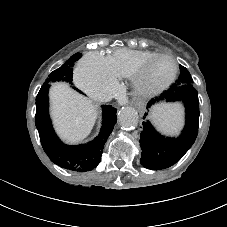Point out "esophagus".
Instances as JSON below:
<instances>
[{
	"mask_svg": "<svg viewBox=\"0 0 227 227\" xmlns=\"http://www.w3.org/2000/svg\"><path fill=\"white\" fill-rule=\"evenodd\" d=\"M136 110H137V112L140 113V114L145 113L146 110H147L146 103H145L144 101H139V102L137 103Z\"/></svg>",
	"mask_w": 227,
	"mask_h": 227,
	"instance_id": "34e87169",
	"label": "esophagus"
}]
</instances>
